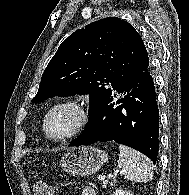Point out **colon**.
<instances>
[{
    "label": "colon",
    "instance_id": "5ec220e1",
    "mask_svg": "<svg viewBox=\"0 0 189 195\" xmlns=\"http://www.w3.org/2000/svg\"><path fill=\"white\" fill-rule=\"evenodd\" d=\"M34 195H56L54 189L43 179H37L33 185Z\"/></svg>",
    "mask_w": 189,
    "mask_h": 195
}]
</instances>
